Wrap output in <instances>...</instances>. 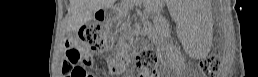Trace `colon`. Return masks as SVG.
Listing matches in <instances>:
<instances>
[{
    "label": "colon",
    "instance_id": "5ec220e1",
    "mask_svg": "<svg viewBox=\"0 0 258 77\" xmlns=\"http://www.w3.org/2000/svg\"><path fill=\"white\" fill-rule=\"evenodd\" d=\"M108 36V28L102 22H94L82 30L80 40L92 51L103 49ZM84 55L82 50L72 47L66 50L63 71L69 77H89L82 62ZM136 62L143 71L154 70L157 64V57L150 49H140L137 53ZM84 63H86L84 61ZM87 64V63H86ZM219 67V59L216 56H209L201 63V69L206 74L214 73Z\"/></svg>",
    "mask_w": 258,
    "mask_h": 77
}]
</instances>
